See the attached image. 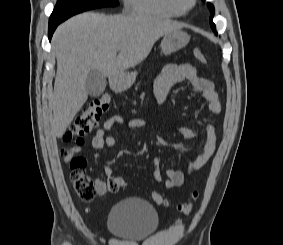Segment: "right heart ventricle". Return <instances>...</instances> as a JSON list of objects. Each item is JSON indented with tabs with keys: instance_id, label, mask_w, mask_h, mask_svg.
Segmentation results:
<instances>
[{
	"instance_id": "1",
	"label": "right heart ventricle",
	"mask_w": 283,
	"mask_h": 245,
	"mask_svg": "<svg viewBox=\"0 0 283 245\" xmlns=\"http://www.w3.org/2000/svg\"><path fill=\"white\" fill-rule=\"evenodd\" d=\"M128 11L158 18H177L184 14L179 0H124Z\"/></svg>"
}]
</instances>
